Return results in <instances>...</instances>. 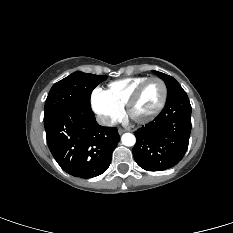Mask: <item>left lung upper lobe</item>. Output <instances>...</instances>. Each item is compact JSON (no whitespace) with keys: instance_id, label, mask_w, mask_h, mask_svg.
<instances>
[{"instance_id":"left-lung-upper-lobe-1","label":"left lung upper lobe","mask_w":233,"mask_h":233,"mask_svg":"<svg viewBox=\"0 0 233 233\" xmlns=\"http://www.w3.org/2000/svg\"><path fill=\"white\" fill-rule=\"evenodd\" d=\"M154 73L157 74L160 78H162L167 86V100L172 99L173 97L179 94L186 93L173 77L158 71H154Z\"/></svg>"}]
</instances>
